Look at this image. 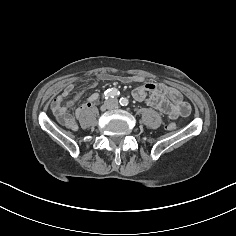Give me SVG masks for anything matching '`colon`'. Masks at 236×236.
<instances>
[{"mask_svg":"<svg viewBox=\"0 0 236 236\" xmlns=\"http://www.w3.org/2000/svg\"><path fill=\"white\" fill-rule=\"evenodd\" d=\"M169 128L174 129V128H175V124H174V123H171V124L169 125Z\"/></svg>","mask_w":236,"mask_h":236,"instance_id":"5ec220e1","label":"colon"}]
</instances>
